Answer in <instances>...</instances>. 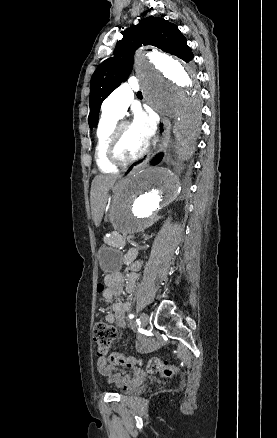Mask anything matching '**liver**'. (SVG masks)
<instances>
[{"mask_svg":"<svg viewBox=\"0 0 277 438\" xmlns=\"http://www.w3.org/2000/svg\"><path fill=\"white\" fill-rule=\"evenodd\" d=\"M120 176H96L91 186V212L95 226H99L108 200L109 188H112Z\"/></svg>","mask_w":277,"mask_h":438,"instance_id":"1","label":"liver"}]
</instances>
